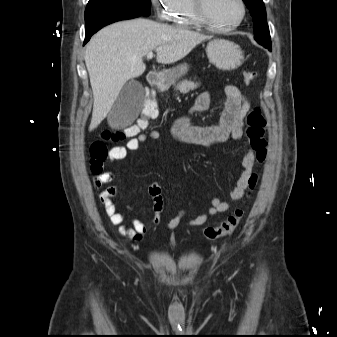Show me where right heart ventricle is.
I'll use <instances>...</instances> for the list:
<instances>
[{
	"instance_id": "obj_1",
	"label": "right heart ventricle",
	"mask_w": 337,
	"mask_h": 337,
	"mask_svg": "<svg viewBox=\"0 0 337 337\" xmlns=\"http://www.w3.org/2000/svg\"><path fill=\"white\" fill-rule=\"evenodd\" d=\"M170 20L176 25L183 27H196L201 25L194 14L192 0H176L170 14Z\"/></svg>"
}]
</instances>
